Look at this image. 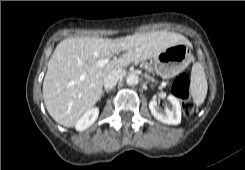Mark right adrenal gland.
Wrapping results in <instances>:
<instances>
[{
	"instance_id": "2a0ac1e0",
	"label": "right adrenal gland",
	"mask_w": 245,
	"mask_h": 170,
	"mask_svg": "<svg viewBox=\"0 0 245 170\" xmlns=\"http://www.w3.org/2000/svg\"><path fill=\"white\" fill-rule=\"evenodd\" d=\"M110 91H111V89H105V90L102 91V95H104L105 92L108 93V92H110Z\"/></svg>"
}]
</instances>
